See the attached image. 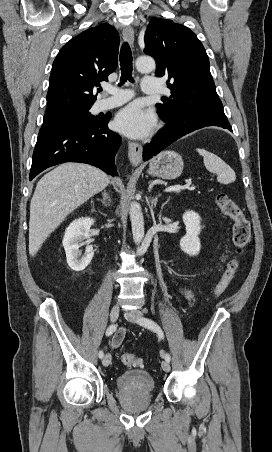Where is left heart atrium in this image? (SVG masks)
<instances>
[{"instance_id": "1", "label": "left heart atrium", "mask_w": 272, "mask_h": 452, "mask_svg": "<svg viewBox=\"0 0 272 452\" xmlns=\"http://www.w3.org/2000/svg\"><path fill=\"white\" fill-rule=\"evenodd\" d=\"M154 124V113L139 103H132L121 109L113 123L115 130L132 138L146 136Z\"/></svg>"}]
</instances>
